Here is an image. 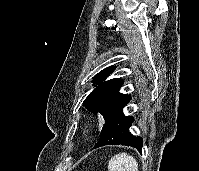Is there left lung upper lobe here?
Listing matches in <instances>:
<instances>
[{
  "instance_id": "left-lung-upper-lobe-1",
  "label": "left lung upper lobe",
  "mask_w": 199,
  "mask_h": 171,
  "mask_svg": "<svg viewBox=\"0 0 199 171\" xmlns=\"http://www.w3.org/2000/svg\"><path fill=\"white\" fill-rule=\"evenodd\" d=\"M115 68L107 67L95 75V89L84 100L83 105L93 114L100 113L104 119H108L121 106L130 95L119 92L123 85V80L114 78L105 81Z\"/></svg>"
}]
</instances>
